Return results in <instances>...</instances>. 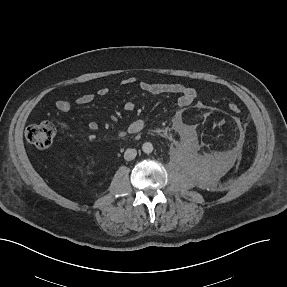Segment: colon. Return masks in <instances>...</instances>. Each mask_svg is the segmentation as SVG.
I'll use <instances>...</instances> for the list:
<instances>
[{
	"label": "colon",
	"mask_w": 287,
	"mask_h": 287,
	"mask_svg": "<svg viewBox=\"0 0 287 287\" xmlns=\"http://www.w3.org/2000/svg\"><path fill=\"white\" fill-rule=\"evenodd\" d=\"M229 109L233 113H239L241 106L236 102L229 104ZM55 135V128L49 121H42L30 125L26 129L27 141L38 149H47L51 146Z\"/></svg>",
	"instance_id": "1"
}]
</instances>
